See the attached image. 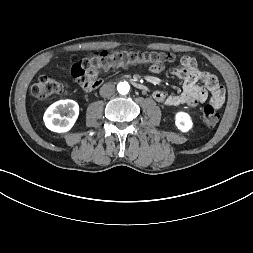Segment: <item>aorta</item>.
I'll use <instances>...</instances> for the list:
<instances>
[{"label":"aorta","mask_w":253,"mask_h":253,"mask_svg":"<svg viewBox=\"0 0 253 253\" xmlns=\"http://www.w3.org/2000/svg\"><path fill=\"white\" fill-rule=\"evenodd\" d=\"M117 90L122 95L128 94L130 90V85L128 82H120L117 85Z\"/></svg>","instance_id":"1"}]
</instances>
